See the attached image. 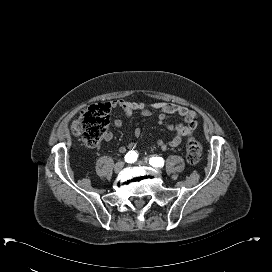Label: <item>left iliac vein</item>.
I'll return each instance as SVG.
<instances>
[{
    "label": "left iliac vein",
    "instance_id": "obj_1",
    "mask_svg": "<svg viewBox=\"0 0 272 272\" xmlns=\"http://www.w3.org/2000/svg\"><path fill=\"white\" fill-rule=\"evenodd\" d=\"M137 164L141 165V166H146L147 162H145V161H138Z\"/></svg>",
    "mask_w": 272,
    "mask_h": 272
}]
</instances>
